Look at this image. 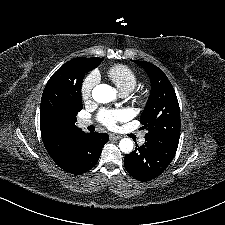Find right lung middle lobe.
<instances>
[{
	"label": "right lung middle lobe",
	"mask_w": 225,
	"mask_h": 225,
	"mask_svg": "<svg viewBox=\"0 0 225 225\" xmlns=\"http://www.w3.org/2000/svg\"><path fill=\"white\" fill-rule=\"evenodd\" d=\"M102 61L103 58H91L88 70H78L63 82H56L51 89L43 91L40 118L47 126L60 128L75 124L76 115L83 108L81 86L85 73Z\"/></svg>",
	"instance_id": "dd1d6c3e"
}]
</instances>
